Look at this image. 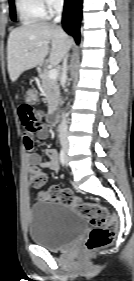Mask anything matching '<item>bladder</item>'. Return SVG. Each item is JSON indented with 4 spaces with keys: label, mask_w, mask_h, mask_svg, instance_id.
<instances>
[{
    "label": "bladder",
    "mask_w": 134,
    "mask_h": 281,
    "mask_svg": "<svg viewBox=\"0 0 134 281\" xmlns=\"http://www.w3.org/2000/svg\"><path fill=\"white\" fill-rule=\"evenodd\" d=\"M86 229V217L71 206L44 201L30 207V239L49 250L68 246Z\"/></svg>",
    "instance_id": "bladder-1"
}]
</instances>
